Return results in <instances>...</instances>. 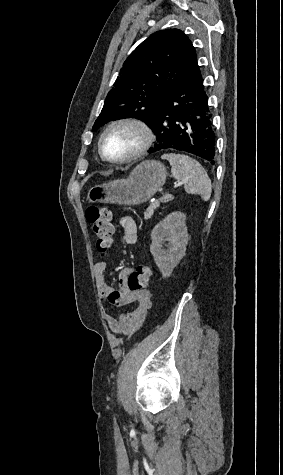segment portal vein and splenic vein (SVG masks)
<instances>
[{
  "label": "portal vein and splenic vein",
  "instance_id": "18ae733b",
  "mask_svg": "<svg viewBox=\"0 0 283 475\" xmlns=\"http://www.w3.org/2000/svg\"><path fill=\"white\" fill-rule=\"evenodd\" d=\"M170 194H171V195H175V194H176V191H175V190H171V191H170ZM163 196H164V197H168V194H164ZM160 198L162 199L163 197L161 196Z\"/></svg>",
  "mask_w": 283,
  "mask_h": 475
}]
</instances>
